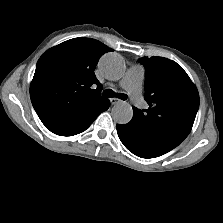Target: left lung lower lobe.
<instances>
[{
  "label": "left lung lower lobe",
  "mask_w": 223,
  "mask_h": 223,
  "mask_svg": "<svg viewBox=\"0 0 223 223\" xmlns=\"http://www.w3.org/2000/svg\"><path fill=\"white\" fill-rule=\"evenodd\" d=\"M116 128L123 145L141 158H155L173 149L167 144L146 137L132 121L125 125H116Z\"/></svg>",
  "instance_id": "0a47b994"
}]
</instances>
